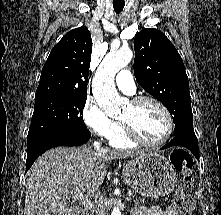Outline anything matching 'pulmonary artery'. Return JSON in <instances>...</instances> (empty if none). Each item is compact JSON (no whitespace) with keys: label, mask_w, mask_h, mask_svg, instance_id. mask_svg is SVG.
<instances>
[{"label":"pulmonary artery","mask_w":221,"mask_h":215,"mask_svg":"<svg viewBox=\"0 0 221 215\" xmlns=\"http://www.w3.org/2000/svg\"><path fill=\"white\" fill-rule=\"evenodd\" d=\"M116 85L127 94H133L136 90L132 74L129 70H121L116 76Z\"/></svg>","instance_id":"e3ab8cb5"}]
</instances>
